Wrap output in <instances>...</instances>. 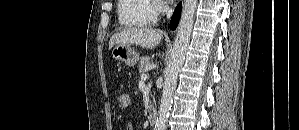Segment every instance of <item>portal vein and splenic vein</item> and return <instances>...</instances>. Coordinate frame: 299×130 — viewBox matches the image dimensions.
Here are the masks:
<instances>
[{"mask_svg": "<svg viewBox=\"0 0 299 130\" xmlns=\"http://www.w3.org/2000/svg\"><path fill=\"white\" fill-rule=\"evenodd\" d=\"M147 78H148V77H147V75H146V74H143V75H141V80H142V81H146V80H147Z\"/></svg>", "mask_w": 299, "mask_h": 130, "instance_id": "1", "label": "portal vein and splenic vein"}]
</instances>
